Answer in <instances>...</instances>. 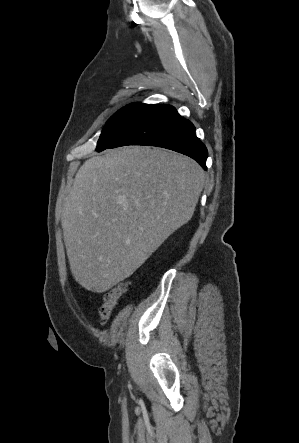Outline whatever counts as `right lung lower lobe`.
<instances>
[{
    "mask_svg": "<svg viewBox=\"0 0 299 443\" xmlns=\"http://www.w3.org/2000/svg\"><path fill=\"white\" fill-rule=\"evenodd\" d=\"M126 145H149L171 149L195 159L205 170L207 169L208 152L205 145L196 137L194 125L182 118L171 105H148L108 148Z\"/></svg>",
    "mask_w": 299,
    "mask_h": 443,
    "instance_id": "98d812e1",
    "label": "right lung lower lobe"
}]
</instances>
